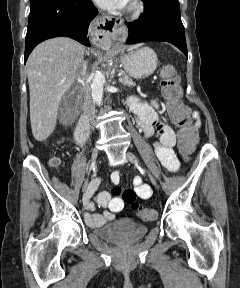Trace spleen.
I'll use <instances>...</instances> for the list:
<instances>
[{
  "label": "spleen",
  "instance_id": "spleen-1",
  "mask_svg": "<svg viewBox=\"0 0 240 288\" xmlns=\"http://www.w3.org/2000/svg\"><path fill=\"white\" fill-rule=\"evenodd\" d=\"M142 44H137V45H135V46H133L132 48H136V47H139V46H141Z\"/></svg>",
  "mask_w": 240,
  "mask_h": 288
}]
</instances>
